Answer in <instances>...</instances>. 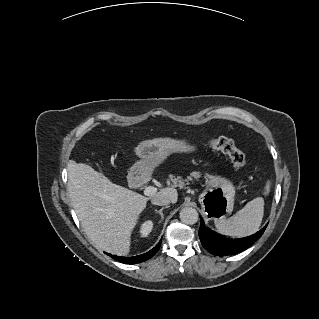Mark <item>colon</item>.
Instances as JSON below:
<instances>
[{
  "instance_id": "colon-1",
  "label": "colon",
  "mask_w": 319,
  "mask_h": 319,
  "mask_svg": "<svg viewBox=\"0 0 319 319\" xmlns=\"http://www.w3.org/2000/svg\"><path fill=\"white\" fill-rule=\"evenodd\" d=\"M211 145L213 148L227 152L235 166L243 167L246 164L243 154L230 142L224 139H215L211 141Z\"/></svg>"
}]
</instances>
